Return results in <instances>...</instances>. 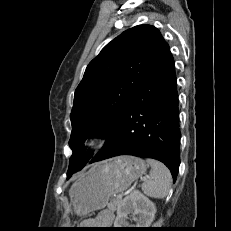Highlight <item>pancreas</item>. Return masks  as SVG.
<instances>
[{"label": "pancreas", "instance_id": "1", "mask_svg": "<svg viewBox=\"0 0 231 231\" xmlns=\"http://www.w3.org/2000/svg\"><path fill=\"white\" fill-rule=\"evenodd\" d=\"M121 198H114L108 203V208L112 211H115L116 208L120 205Z\"/></svg>", "mask_w": 231, "mask_h": 231}]
</instances>
